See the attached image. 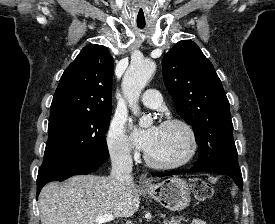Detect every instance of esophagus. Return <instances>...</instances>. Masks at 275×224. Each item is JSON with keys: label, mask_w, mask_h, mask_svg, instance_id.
<instances>
[{"label": "esophagus", "mask_w": 275, "mask_h": 224, "mask_svg": "<svg viewBox=\"0 0 275 224\" xmlns=\"http://www.w3.org/2000/svg\"><path fill=\"white\" fill-rule=\"evenodd\" d=\"M140 184L144 187H148L150 185V181L148 180L146 174H142L140 176Z\"/></svg>", "instance_id": "obj_1"}]
</instances>
